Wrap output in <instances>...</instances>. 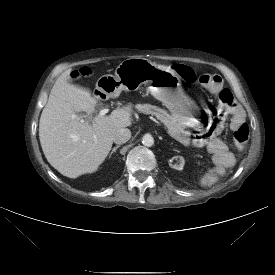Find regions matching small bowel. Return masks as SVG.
<instances>
[{
    "instance_id": "small-bowel-1",
    "label": "small bowel",
    "mask_w": 275,
    "mask_h": 275,
    "mask_svg": "<svg viewBox=\"0 0 275 275\" xmlns=\"http://www.w3.org/2000/svg\"><path fill=\"white\" fill-rule=\"evenodd\" d=\"M222 84L220 79L216 84L210 86L211 93L216 94ZM247 126L246 117L243 109L239 105H235L231 111L230 129L235 132L242 126ZM218 128V127H217ZM217 130H206L196 134L191 141L192 147L199 152L208 149L210 161L207 162L206 168L200 173V182L207 187L213 186L223 180L228 173V168L234 162V156L228 152L225 143L217 138Z\"/></svg>"
}]
</instances>
